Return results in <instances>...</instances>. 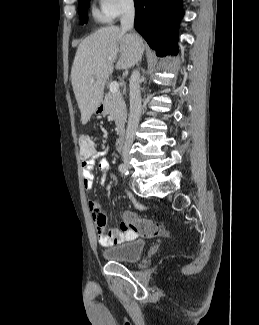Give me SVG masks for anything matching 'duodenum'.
I'll return each instance as SVG.
<instances>
[{
    "label": "duodenum",
    "instance_id": "410a0bca",
    "mask_svg": "<svg viewBox=\"0 0 259 325\" xmlns=\"http://www.w3.org/2000/svg\"><path fill=\"white\" fill-rule=\"evenodd\" d=\"M125 144V135L122 134L116 141V149L117 151L121 152L124 149Z\"/></svg>",
    "mask_w": 259,
    "mask_h": 325
}]
</instances>
